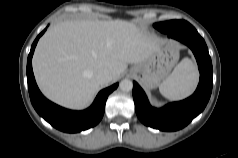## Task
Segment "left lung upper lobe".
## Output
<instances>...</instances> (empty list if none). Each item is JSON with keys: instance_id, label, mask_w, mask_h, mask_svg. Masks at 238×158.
Instances as JSON below:
<instances>
[{"instance_id": "1", "label": "left lung upper lobe", "mask_w": 238, "mask_h": 158, "mask_svg": "<svg viewBox=\"0 0 238 158\" xmlns=\"http://www.w3.org/2000/svg\"><path fill=\"white\" fill-rule=\"evenodd\" d=\"M186 24H188V22H186L184 20H171V21L156 23V24H154V27L163 33H168L170 31L169 28L171 26L180 27V26H184Z\"/></svg>"}]
</instances>
